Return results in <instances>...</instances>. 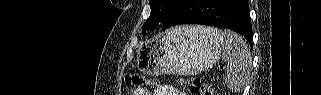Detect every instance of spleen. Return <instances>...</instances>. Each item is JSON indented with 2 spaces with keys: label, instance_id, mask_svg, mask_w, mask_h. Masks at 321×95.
Masks as SVG:
<instances>
[{
  "label": "spleen",
  "instance_id": "1",
  "mask_svg": "<svg viewBox=\"0 0 321 95\" xmlns=\"http://www.w3.org/2000/svg\"><path fill=\"white\" fill-rule=\"evenodd\" d=\"M200 29L205 33L218 32L215 28ZM222 35L226 37L222 53V59L226 63L225 83L230 90L239 91L246 85L249 76L250 48L244 38L235 32L225 31Z\"/></svg>",
  "mask_w": 321,
  "mask_h": 95
}]
</instances>
